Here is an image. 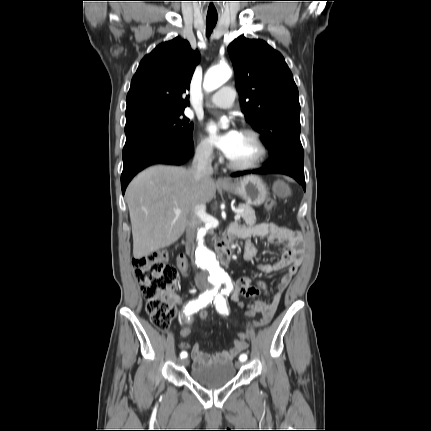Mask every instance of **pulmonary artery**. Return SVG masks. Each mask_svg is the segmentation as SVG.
<instances>
[{
    "mask_svg": "<svg viewBox=\"0 0 431 431\" xmlns=\"http://www.w3.org/2000/svg\"><path fill=\"white\" fill-rule=\"evenodd\" d=\"M236 98V90L229 85L223 86L209 99L207 106L227 109L233 106Z\"/></svg>",
    "mask_w": 431,
    "mask_h": 431,
    "instance_id": "obj_1",
    "label": "pulmonary artery"
}]
</instances>
